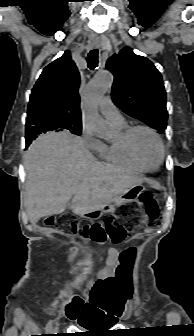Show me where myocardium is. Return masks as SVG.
I'll return each instance as SVG.
<instances>
[{"label":"myocardium","instance_id":"f54148a6","mask_svg":"<svg viewBox=\"0 0 194 336\" xmlns=\"http://www.w3.org/2000/svg\"><path fill=\"white\" fill-rule=\"evenodd\" d=\"M139 130H144V131H147V132L151 133L154 136L155 140L157 141V143L159 145L160 160L154 166H151V165L147 164L145 161H143L136 151V148H135V145H134V135ZM122 140H123V142L125 144V147L127 148L128 152L130 153V155L140 165H142V166H144V167H146L150 170H154L157 167H159L161 165V163L163 162L164 156H165V147H164L163 141H162L159 133L154 128H152L148 125H145V124H136V125L129 126L122 133Z\"/></svg>","mask_w":194,"mask_h":336}]
</instances>
